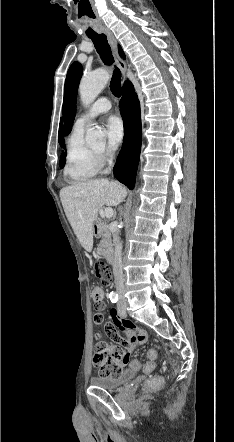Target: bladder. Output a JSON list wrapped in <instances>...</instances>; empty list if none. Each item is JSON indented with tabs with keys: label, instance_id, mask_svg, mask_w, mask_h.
I'll return each instance as SVG.
<instances>
[{
	"label": "bladder",
	"instance_id": "31cf9c89",
	"mask_svg": "<svg viewBox=\"0 0 234 442\" xmlns=\"http://www.w3.org/2000/svg\"><path fill=\"white\" fill-rule=\"evenodd\" d=\"M135 377L133 369L122 370L119 374L113 376H95L91 378V383L105 390H115L128 383Z\"/></svg>",
	"mask_w": 234,
	"mask_h": 442
}]
</instances>
